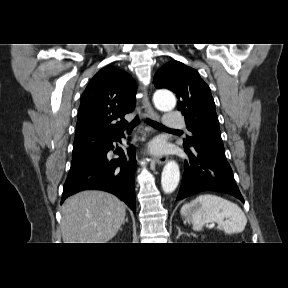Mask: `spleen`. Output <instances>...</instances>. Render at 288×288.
<instances>
[{"label": "spleen", "mask_w": 288, "mask_h": 288, "mask_svg": "<svg viewBox=\"0 0 288 288\" xmlns=\"http://www.w3.org/2000/svg\"><path fill=\"white\" fill-rule=\"evenodd\" d=\"M180 213L192 223L195 231H201L207 223H217L218 229L234 234L242 232L247 224V218L237 204L211 194L199 195L184 204Z\"/></svg>", "instance_id": "3e777b00"}]
</instances>
